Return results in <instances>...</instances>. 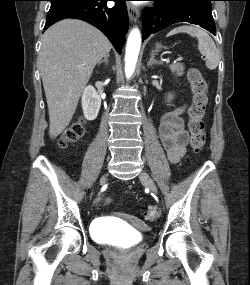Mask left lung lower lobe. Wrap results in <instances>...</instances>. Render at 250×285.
<instances>
[{
    "instance_id": "obj_1",
    "label": "left lung lower lobe",
    "mask_w": 250,
    "mask_h": 285,
    "mask_svg": "<svg viewBox=\"0 0 250 285\" xmlns=\"http://www.w3.org/2000/svg\"><path fill=\"white\" fill-rule=\"evenodd\" d=\"M155 2L154 8H146L143 13L142 38L180 22L199 25L216 35V27L211 6L196 1H182L174 5H166L161 0Z\"/></svg>"
}]
</instances>
